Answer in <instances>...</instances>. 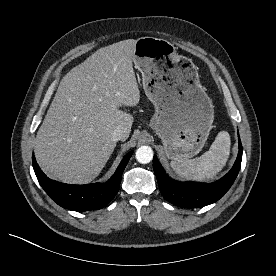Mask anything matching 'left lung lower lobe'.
Returning a JSON list of instances; mask_svg holds the SVG:
<instances>
[{"label":"left lung lower lobe","instance_id":"obj_1","mask_svg":"<svg viewBox=\"0 0 276 276\" xmlns=\"http://www.w3.org/2000/svg\"><path fill=\"white\" fill-rule=\"evenodd\" d=\"M242 161V144L239 138V152L232 169L213 183L178 182L171 179L162 168L156 156L153 168L163 197L172 204L183 208H198L219 200L232 186Z\"/></svg>","mask_w":276,"mask_h":276}]
</instances>
